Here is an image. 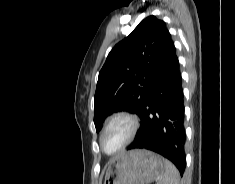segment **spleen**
<instances>
[{
  "label": "spleen",
  "instance_id": "spleen-1",
  "mask_svg": "<svg viewBox=\"0 0 235 184\" xmlns=\"http://www.w3.org/2000/svg\"><path fill=\"white\" fill-rule=\"evenodd\" d=\"M163 172L158 184H179L180 174L175 168L174 164H171L169 160L163 158Z\"/></svg>",
  "mask_w": 235,
  "mask_h": 184
}]
</instances>
